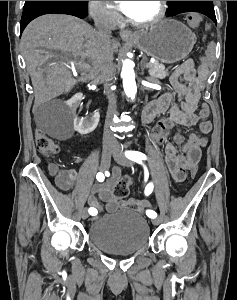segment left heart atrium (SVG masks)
<instances>
[{"mask_svg":"<svg viewBox=\"0 0 237 300\" xmlns=\"http://www.w3.org/2000/svg\"><path fill=\"white\" fill-rule=\"evenodd\" d=\"M135 4L136 1H118L116 7L118 10L128 16Z\"/></svg>","mask_w":237,"mask_h":300,"instance_id":"1","label":"left heart atrium"}]
</instances>
